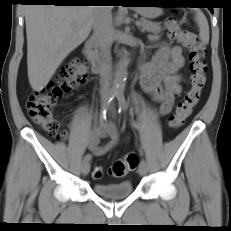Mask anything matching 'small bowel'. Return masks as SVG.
Returning <instances> with one entry per match:
<instances>
[{
    "label": "small bowel",
    "instance_id": "c3829d8e",
    "mask_svg": "<svg viewBox=\"0 0 231 231\" xmlns=\"http://www.w3.org/2000/svg\"><path fill=\"white\" fill-rule=\"evenodd\" d=\"M152 41L157 40L153 36ZM184 64L180 46H170L161 42L152 60L141 70L139 81L143 91L159 104V114H169L175 105V98L182 92L180 68ZM102 138H108L101 144ZM119 142L117 128L109 123L95 126L86 140V146L96 156H103Z\"/></svg>",
    "mask_w": 231,
    "mask_h": 231
}]
</instances>
